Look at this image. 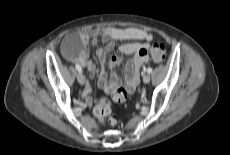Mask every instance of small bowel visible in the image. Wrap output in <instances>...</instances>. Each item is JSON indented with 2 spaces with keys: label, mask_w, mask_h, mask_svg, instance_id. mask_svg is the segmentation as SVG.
<instances>
[{
  "label": "small bowel",
  "mask_w": 230,
  "mask_h": 155,
  "mask_svg": "<svg viewBox=\"0 0 230 155\" xmlns=\"http://www.w3.org/2000/svg\"><path fill=\"white\" fill-rule=\"evenodd\" d=\"M153 36L151 33L139 28L127 27H108L97 28L92 30H83L67 36L62 43V52L70 62L85 67L89 74L93 75L97 71L95 63L88 58L87 45H97L101 40L105 45L96 49V58L100 66L105 63L106 55L113 50L116 41H143V42H126L120 45L119 51L123 54L132 55L130 61L125 67L124 84L121 86L120 80L115 73L109 76L104 70H101L98 84L111 97H115V102L122 103L127 100L128 96L135 90L138 82L141 68L149 61V44ZM79 39L81 46L76 49L72 42ZM120 63L118 56H112L109 61V68L112 69ZM92 88L86 84L83 96L89 107L92 106L91 99Z\"/></svg>",
  "instance_id": "small-bowel-1"
}]
</instances>
